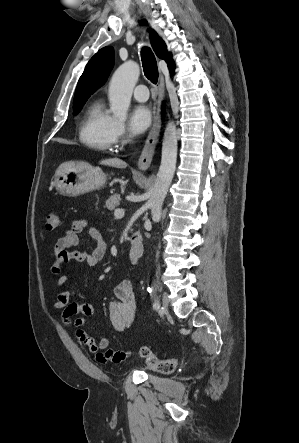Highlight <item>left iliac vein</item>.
Wrapping results in <instances>:
<instances>
[{"label":"left iliac vein","instance_id":"4c4485c4","mask_svg":"<svg viewBox=\"0 0 299 443\" xmlns=\"http://www.w3.org/2000/svg\"><path fill=\"white\" fill-rule=\"evenodd\" d=\"M168 306H169V301L166 295L163 296V300H162V306L160 308V310L162 312H166L168 310Z\"/></svg>","mask_w":299,"mask_h":443}]
</instances>
